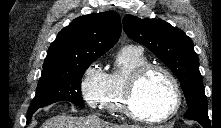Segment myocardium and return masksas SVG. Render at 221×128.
<instances>
[{
	"instance_id": "obj_1",
	"label": "myocardium",
	"mask_w": 221,
	"mask_h": 128,
	"mask_svg": "<svg viewBox=\"0 0 221 128\" xmlns=\"http://www.w3.org/2000/svg\"><path fill=\"white\" fill-rule=\"evenodd\" d=\"M154 71L162 72L169 80L173 93V101L167 110L156 116H149L139 112L134 104L137 90L142 81ZM181 106V91L176 77L166 67L147 63L136 69L130 76L124 93V111L133 120L145 123H162L173 117Z\"/></svg>"
}]
</instances>
